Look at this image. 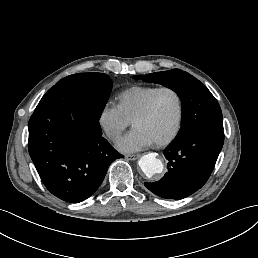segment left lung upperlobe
<instances>
[{
    "label": "left lung upper lobe",
    "instance_id": "1",
    "mask_svg": "<svg viewBox=\"0 0 258 258\" xmlns=\"http://www.w3.org/2000/svg\"><path fill=\"white\" fill-rule=\"evenodd\" d=\"M135 79L162 84L175 91L182 102L181 129L175 141L184 140L204 129L223 131L221 108L199 80L180 69L136 75Z\"/></svg>",
    "mask_w": 258,
    "mask_h": 258
}]
</instances>
